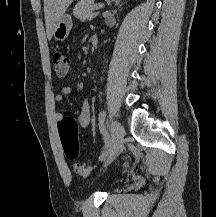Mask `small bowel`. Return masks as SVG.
<instances>
[{
  "instance_id": "small-bowel-1",
  "label": "small bowel",
  "mask_w": 216,
  "mask_h": 217,
  "mask_svg": "<svg viewBox=\"0 0 216 217\" xmlns=\"http://www.w3.org/2000/svg\"><path fill=\"white\" fill-rule=\"evenodd\" d=\"M71 93V89L68 86H62L60 92L54 97L55 104H61L63 102L64 96ZM64 118L63 114L56 112L54 114V119L57 124H60ZM78 124L81 128L85 129L90 125L91 122V104L89 99H85L82 103L79 116L77 118Z\"/></svg>"
}]
</instances>
